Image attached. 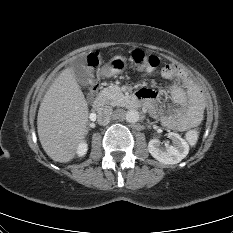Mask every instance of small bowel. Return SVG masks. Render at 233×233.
I'll list each match as a JSON object with an SVG mask.
<instances>
[{"label":"small bowel","mask_w":233,"mask_h":233,"mask_svg":"<svg viewBox=\"0 0 233 233\" xmlns=\"http://www.w3.org/2000/svg\"><path fill=\"white\" fill-rule=\"evenodd\" d=\"M161 76L176 80L170 90L174 107L166 113H160L155 101L161 99L162 95L143 88L138 96L144 100L147 108L159 115L163 124L173 130L185 131L198 124L203 116L204 98L190 74L177 64L169 63L162 68Z\"/></svg>","instance_id":"c3829d8e"}]
</instances>
